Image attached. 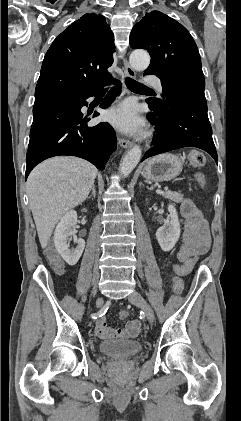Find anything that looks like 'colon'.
<instances>
[{
    "instance_id": "5ec220e1",
    "label": "colon",
    "mask_w": 241,
    "mask_h": 421,
    "mask_svg": "<svg viewBox=\"0 0 241 421\" xmlns=\"http://www.w3.org/2000/svg\"><path fill=\"white\" fill-rule=\"evenodd\" d=\"M46 1L49 3L56 2V0ZM188 161L193 167L200 168L205 165L206 158L204 154L199 151H191L188 155ZM196 178L201 185L205 184V178L201 173H197ZM47 258L55 270L59 272L62 271V261L54 250L47 251ZM197 260L198 257H191L185 261H181L179 264L171 266L173 287L177 293H180L183 290L184 284L181 277L187 275L193 269ZM119 318L122 321H127L129 319V313L127 311H121L119 313Z\"/></svg>"
}]
</instances>
